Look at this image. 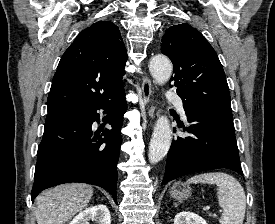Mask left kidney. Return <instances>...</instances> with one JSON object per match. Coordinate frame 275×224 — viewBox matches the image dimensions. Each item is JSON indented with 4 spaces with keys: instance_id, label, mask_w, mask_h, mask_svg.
Here are the masks:
<instances>
[{
    "instance_id": "obj_1",
    "label": "left kidney",
    "mask_w": 275,
    "mask_h": 224,
    "mask_svg": "<svg viewBox=\"0 0 275 224\" xmlns=\"http://www.w3.org/2000/svg\"><path fill=\"white\" fill-rule=\"evenodd\" d=\"M174 224H207V222L195 213L182 211L175 216Z\"/></svg>"
}]
</instances>
